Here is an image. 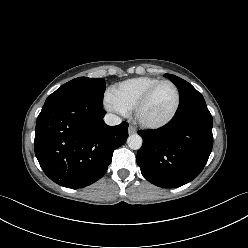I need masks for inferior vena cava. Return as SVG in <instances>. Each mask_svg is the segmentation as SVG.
<instances>
[{"label": "inferior vena cava", "mask_w": 248, "mask_h": 248, "mask_svg": "<svg viewBox=\"0 0 248 248\" xmlns=\"http://www.w3.org/2000/svg\"><path fill=\"white\" fill-rule=\"evenodd\" d=\"M104 121L107 125H110V126L118 125L122 122L119 116L111 114V113H108L105 115Z\"/></svg>", "instance_id": "obj_1"}]
</instances>
